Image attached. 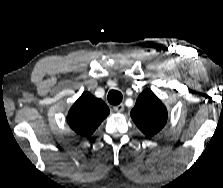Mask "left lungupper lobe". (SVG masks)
<instances>
[{
  "label": "left lung upper lobe",
  "mask_w": 223,
  "mask_h": 188,
  "mask_svg": "<svg viewBox=\"0 0 223 188\" xmlns=\"http://www.w3.org/2000/svg\"><path fill=\"white\" fill-rule=\"evenodd\" d=\"M131 117L137 127L151 137L165 126L167 109L150 89H146L137 98Z\"/></svg>",
  "instance_id": "obj_1"
}]
</instances>
